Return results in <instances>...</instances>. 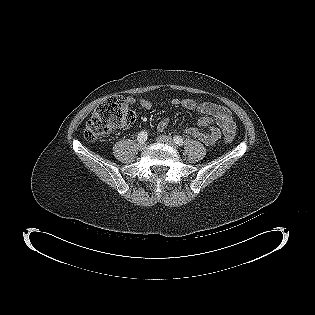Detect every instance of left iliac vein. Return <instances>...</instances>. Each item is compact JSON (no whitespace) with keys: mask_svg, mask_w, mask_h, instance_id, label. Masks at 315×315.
I'll return each mask as SVG.
<instances>
[{"mask_svg":"<svg viewBox=\"0 0 315 315\" xmlns=\"http://www.w3.org/2000/svg\"><path fill=\"white\" fill-rule=\"evenodd\" d=\"M157 140H158L159 142L168 144V145H170L171 147H173V148H175V149L178 148V146L176 145V143L174 142V140H173L171 137H169V136L161 135V136H159V137L157 138Z\"/></svg>","mask_w":315,"mask_h":315,"instance_id":"1","label":"left iliac vein"}]
</instances>
